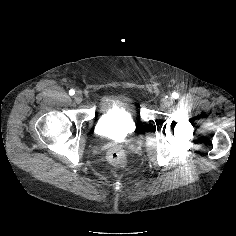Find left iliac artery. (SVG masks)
<instances>
[{"mask_svg":"<svg viewBox=\"0 0 236 236\" xmlns=\"http://www.w3.org/2000/svg\"><path fill=\"white\" fill-rule=\"evenodd\" d=\"M172 97L175 98V99H177V98L179 97V94L176 93V92H174V93H172Z\"/></svg>","mask_w":236,"mask_h":236,"instance_id":"left-iliac-artery-1","label":"left iliac artery"}]
</instances>
